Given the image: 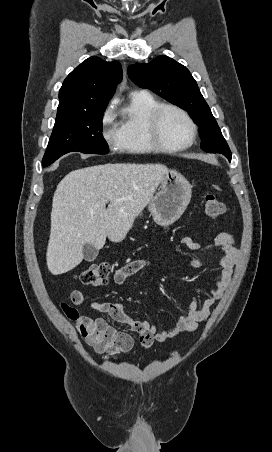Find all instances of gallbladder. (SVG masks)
<instances>
[{"label":"gallbladder","mask_w":272,"mask_h":452,"mask_svg":"<svg viewBox=\"0 0 272 452\" xmlns=\"http://www.w3.org/2000/svg\"><path fill=\"white\" fill-rule=\"evenodd\" d=\"M99 250L92 244L86 243L83 246V257L86 261L94 260L98 255Z\"/></svg>","instance_id":"obj_1"}]
</instances>
